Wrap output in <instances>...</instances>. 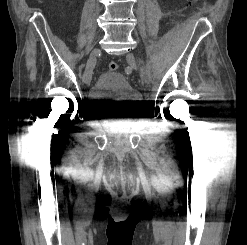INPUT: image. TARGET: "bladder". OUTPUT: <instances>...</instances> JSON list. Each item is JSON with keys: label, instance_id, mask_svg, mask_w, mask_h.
Returning <instances> with one entry per match:
<instances>
[{"label": "bladder", "instance_id": "bladder-1", "mask_svg": "<svg viewBox=\"0 0 247 245\" xmlns=\"http://www.w3.org/2000/svg\"><path fill=\"white\" fill-rule=\"evenodd\" d=\"M90 102L97 111L105 112L114 108L131 110L139 102L138 93L126 77L116 71L102 73L89 91Z\"/></svg>", "mask_w": 247, "mask_h": 245}]
</instances>
